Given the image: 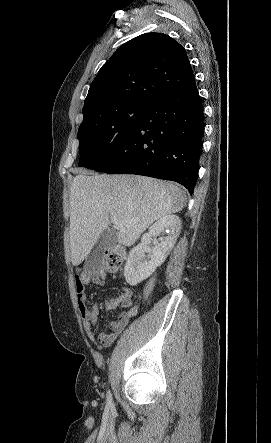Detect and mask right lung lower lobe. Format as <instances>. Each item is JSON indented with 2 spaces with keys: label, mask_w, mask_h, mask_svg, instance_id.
I'll return each instance as SVG.
<instances>
[{
  "label": "right lung lower lobe",
  "mask_w": 271,
  "mask_h": 443,
  "mask_svg": "<svg viewBox=\"0 0 271 443\" xmlns=\"http://www.w3.org/2000/svg\"><path fill=\"white\" fill-rule=\"evenodd\" d=\"M196 83L150 102L116 152L96 171L176 181L192 194L204 130Z\"/></svg>",
  "instance_id": "98d812e1"
}]
</instances>
